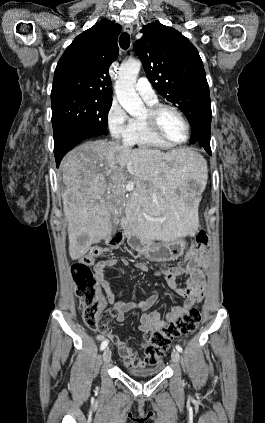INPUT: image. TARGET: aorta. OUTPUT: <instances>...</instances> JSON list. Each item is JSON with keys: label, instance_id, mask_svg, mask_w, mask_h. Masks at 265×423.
<instances>
[{"label": "aorta", "instance_id": "1", "mask_svg": "<svg viewBox=\"0 0 265 423\" xmlns=\"http://www.w3.org/2000/svg\"><path fill=\"white\" fill-rule=\"evenodd\" d=\"M140 68L141 62L136 60L121 64L115 84L117 99L131 116L140 115L145 111L144 103L134 89Z\"/></svg>", "mask_w": 265, "mask_h": 423}]
</instances>
